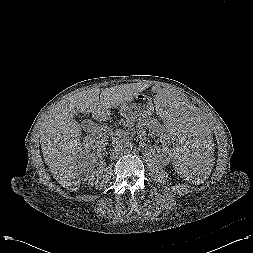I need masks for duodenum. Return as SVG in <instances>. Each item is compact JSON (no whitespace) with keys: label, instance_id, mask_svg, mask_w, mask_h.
Segmentation results:
<instances>
[{"label":"duodenum","instance_id":"410a0bca","mask_svg":"<svg viewBox=\"0 0 253 253\" xmlns=\"http://www.w3.org/2000/svg\"><path fill=\"white\" fill-rule=\"evenodd\" d=\"M94 129V126H89L87 130L92 131Z\"/></svg>","mask_w":253,"mask_h":253}]
</instances>
